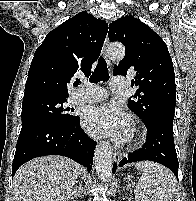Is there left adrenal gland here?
Here are the masks:
<instances>
[{
  "mask_svg": "<svg viewBox=\"0 0 196 201\" xmlns=\"http://www.w3.org/2000/svg\"><path fill=\"white\" fill-rule=\"evenodd\" d=\"M127 180L130 182L131 181V178L130 176H128ZM130 186V183H128V187Z\"/></svg>",
  "mask_w": 196,
  "mask_h": 201,
  "instance_id": "1",
  "label": "left adrenal gland"
}]
</instances>
